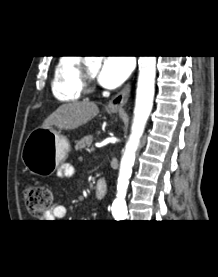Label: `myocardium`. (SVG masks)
<instances>
[{"mask_svg":"<svg viewBox=\"0 0 218 277\" xmlns=\"http://www.w3.org/2000/svg\"><path fill=\"white\" fill-rule=\"evenodd\" d=\"M80 78L83 91H91L93 89L94 75L89 72L87 66L84 64L81 65Z\"/></svg>","mask_w":218,"mask_h":277,"instance_id":"obj_1","label":"myocardium"}]
</instances>
